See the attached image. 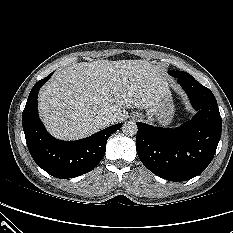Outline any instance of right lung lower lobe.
<instances>
[{
    "label": "right lung lower lobe",
    "instance_id": "98d812e1",
    "mask_svg": "<svg viewBox=\"0 0 233 233\" xmlns=\"http://www.w3.org/2000/svg\"><path fill=\"white\" fill-rule=\"evenodd\" d=\"M52 74L33 86L22 114L23 130L29 152L40 168L57 178H73L97 166L105 154L109 136L122 123L77 141H61L52 137L41 123L37 109L39 89Z\"/></svg>",
    "mask_w": 233,
    "mask_h": 233
}]
</instances>
